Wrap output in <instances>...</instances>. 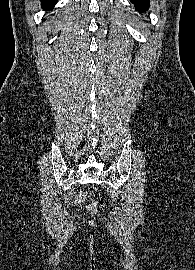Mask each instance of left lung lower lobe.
<instances>
[{
	"instance_id": "left-lung-lower-lobe-1",
	"label": "left lung lower lobe",
	"mask_w": 195,
	"mask_h": 270,
	"mask_svg": "<svg viewBox=\"0 0 195 270\" xmlns=\"http://www.w3.org/2000/svg\"><path fill=\"white\" fill-rule=\"evenodd\" d=\"M135 6L136 8L142 12V11H146L147 8L149 7V1L150 0H130Z\"/></svg>"
}]
</instances>
